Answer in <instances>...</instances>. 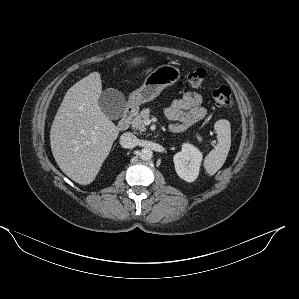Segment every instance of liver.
<instances>
[{"instance_id":"obj_1","label":"liver","mask_w":299,"mask_h":299,"mask_svg":"<svg viewBox=\"0 0 299 299\" xmlns=\"http://www.w3.org/2000/svg\"><path fill=\"white\" fill-rule=\"evenodd\" d=\"M142 57L131 62L139 64ZM99 72H92L65 94L50 130V145L59 168L73 181H94L107 158L119 129L100 109Z\"/></svg>"}]
</instances>
